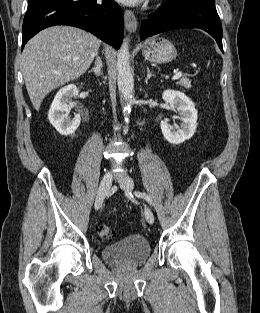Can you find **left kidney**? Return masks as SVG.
Wrapping results in <instances>:
<instances>
[{
  "label": "left kidney",
  "mask_w": 260,
  "mask_h": 313,
  "mask_svg": "<svg viewBox=\"0 0 260 313\" xmlns=\"http://www.w3.org/2000/svg\"><path fill=\"white\" fill-rule=\"evenodd\" d=\"M162 98L172 109L179 111L182 121L179 128L170 126L167 120L161 121V131L165 139L176 145L189 140L196 130L197 110L194 103L184 93L174 90L164 91Z\"/></svg>",
  "instance_id": "1"
}]
</instances>
